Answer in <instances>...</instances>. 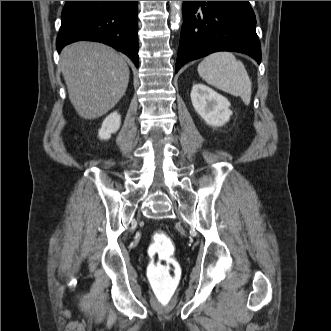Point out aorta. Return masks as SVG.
Here are the masks:
<instances>
[{
  "mask_svg": "<svg viewBox=\"0 0 331 331\" xmlns=\"http://www.w3.org/2000/svg\"><path fill=\"white\" fill-rule=\"evenodd\" d=\"M182 2L183 1H170L171 25L173 28H178L181 24Z\"/></svg>",
  "mask_w": 331,
  "mask_h": 331,
  "instance_id": "762f6f07",
  "label": "aorta"
}]
</instances>
